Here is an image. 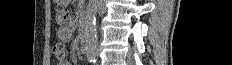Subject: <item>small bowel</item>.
<instances>
[{"label": "small bowel", "instance_id": "1", "mask_svg": "<svg viewBox=\"0 0 232 65\" xmlns=\"http://www.w3.org/2000/svg\"><path fill=\"white\" fill-rule=\"evenodd\" d=\"M67 17H75V12H57V16L54 17V20L66 21ZM57 28H59L60 32H56L55 36L60 37L59 43H70V40H77V35H74V32H69L66 23H57ZM59 65H71V63L64 61Z\"/></svg>", "mask_w": 232, "mask_h": 65}]
</instances>
